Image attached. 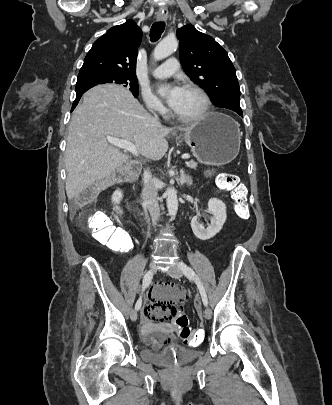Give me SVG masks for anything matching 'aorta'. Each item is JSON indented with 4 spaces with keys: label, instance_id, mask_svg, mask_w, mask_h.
Segmentation results:
<instances>
[{
    "label": "aorta",
    "instance_id": "aorta-1",
    "mask_svg": "<svg viewBox=\"0 0 332 405\" xmlns=\"http://www.w3.org/2000/svg\"><path fill=\"white\" fill-rule=\"evenodd\" d=\"M177 47V39L172 36H166L155 47L153 57L155 60L164 59L175 52ZM166 197L168 213L171 216H175L178 211L177 191L174 188H169L166 191Z\"/></svg>",
    "mask_w": 332,
    "mask_h": 405
}]
</instances>
